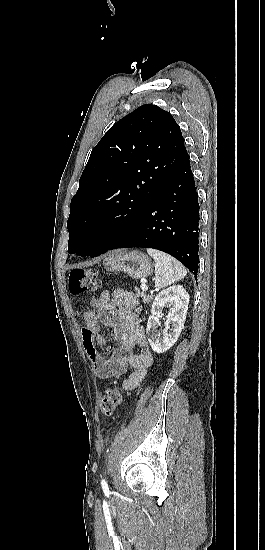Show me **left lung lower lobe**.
<instances>
[{
    "instance_id": "obj_1",
    "label": "left lung lower lobe",
    "mask_w": 265,
    "mask_h": 550,
    "mask_svg": "<svg viewBox=\"0 0 265 550\" xmlns=\"http://www.w3.org/2000/svg\"><path fill=\"white\" fill-rule=\"evenodd\" d=\"M198 222V197L186 153L132 227L96 256L117 248H154L172 255L196 275Z\"/></svg>"
}]
</instances>
